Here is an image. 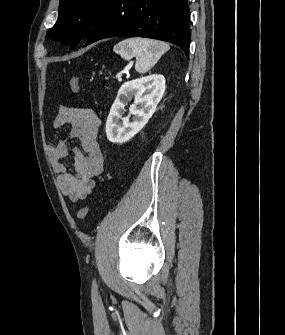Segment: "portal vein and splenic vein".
<instances>
[{
    "label": "portal vein and splenic vein",
    "instance_id": "18ae733b",
    "mask_svg": "<svg viewBox=\"0 0 285 335\" xmlns=\"http://www.w3.org/2000/svg\"><path fill=\"white\" fill-rule=\"evenodd\" d=\"M116 78H118V80H122L121 74H117Z\"/></svg>",
    "mask_w": 285,
    "mask_h": 335
}]
</instances>
